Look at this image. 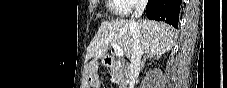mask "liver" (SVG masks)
<instances>
[{
    "mask_svg": "<svg viewBox=\"0 0 227 88\" xmlns=\"http://www.w3.org/2000/svg\"><path fill=\"white\" fill-rule=\"evenodd\" d=\"M131 24L135 26L140 35V43L145 54L163 55L170 51L176 42L177 35L174 29L166 23L150 20L104 21L92 39L87 49L86 59L98 60L104 57L111 43H117L130 58L133 39Z\"/></svg>",
    "mask_w": 227,
    "mask_h": 88,
    "instance_id": "6515ba94",
    "label": "liver"
}]
</instances>
